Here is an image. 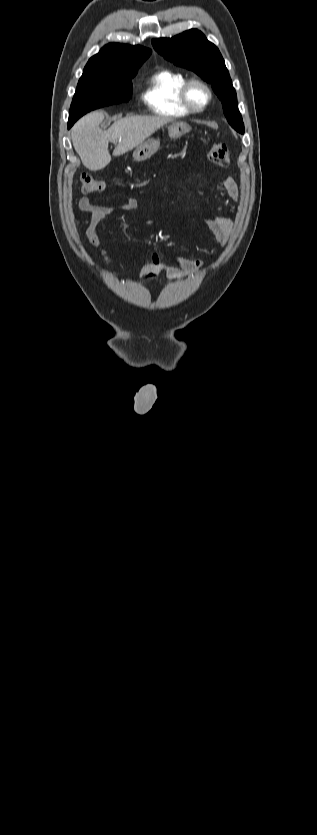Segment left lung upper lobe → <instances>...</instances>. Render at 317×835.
Segmentation results:
<instances>
[{"label":"left lung upper lobe","instance_id":"obj_1","mask_svg":"<svg viewBox=\"0 0 317 835\" xmlns=\"http://www.w3.org/2000/svg\"><path fill=\"white\" fill-rule=\"evenodd\" d=\"M154 49L174 64L187 68L208 83L222 101L229 124L243 134L244 123L237 107L236 91L219 49L204 34L191 29L172 38L153 39Z\"/></svg>","mask_w":317,"mask_h":835}]
</instances>
